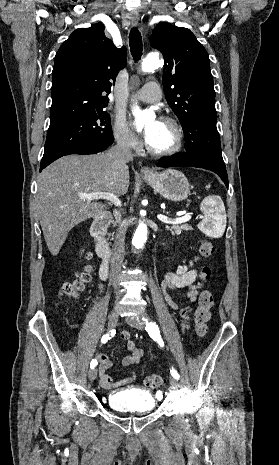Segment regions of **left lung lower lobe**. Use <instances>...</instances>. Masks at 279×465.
I'll use <instances>...</instances> for the list:
<instances>
[{
  "label": "left lung lower lobe",
  "instance_id": "left-lung-lower-lobe-1",
  "mask_svg": "<svg viewBox=\"0 0 279 465\" xmlns=\"http://www.w3.org/2000/svg\"><path fill=\"white\" fill-rule=\"evenodd\" d=\"M157 166H192L207 169L215 172L225 183L228 188V176L225 165L219 164L214 160L192 152H180L170 157H163L159 160Z\"/></svg>",
  "mask_w": 279,
  "mask_h": 465
}]
</instances>
